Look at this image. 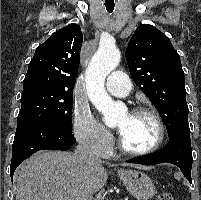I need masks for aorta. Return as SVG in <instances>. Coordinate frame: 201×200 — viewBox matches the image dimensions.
Listing matches in <instances>:
<instances>
[{
    "instance_id": "obj_1",
    "label": "aorta",
    "mask_w": 201,
    "mask_h": 200,
    "mask_svg": "<svg viewBox=\"0 0 201 200\" xmlns=\"http://www.w3.org/2000/svg\"><path fill=\"white\" fill-rule=\"evenodd\" d=\"M121 54L113 42H101L87 67L85 81L90 101L109 125L118 119L116 104L105 90V79L120 62Z\"/></svg>"
}]
</instances>
